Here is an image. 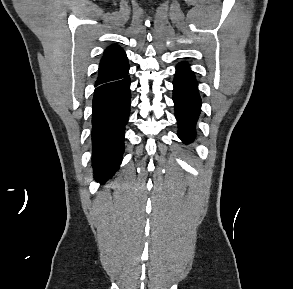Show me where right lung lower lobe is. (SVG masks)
Here are the masks:
<instances>
[{
    "mask_svg": "<svg viewBox=\"0 0 293 289\" xmlns=\"http://www.w3.org/2000/svg\"><path fill=\"white\" fill-rule=\"evenodd\" d=\"M130 77L98 85L93 96L92 166L100 183L117 171L124 153V132L130 114Z\"/></svg>",
    "mask_w": 293,
    "mask_h": 289,
    "instance_id": "1",
    "label": "right lung lower lobe"
}]
</instances>
